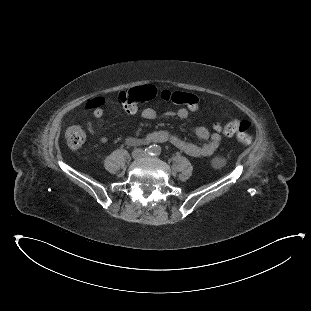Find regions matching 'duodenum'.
<instances>
[{
	"instance_id": "obj_1",
	"label": "duodenum",
	"mask_w": 311,
	"mask_h": 311,
	"mask_svg": "<svg viewBox=\"0 0 311 311\" xmlns=\"http://www.w3.org/2000/svg\"><path fill=\"white\" fill-rule=\"evenodd\" d=\"M135 143L140 144V145L150 144V143H148V141L143 140V139H137V140H135Z\"/></svg>"
}]
</instances>
